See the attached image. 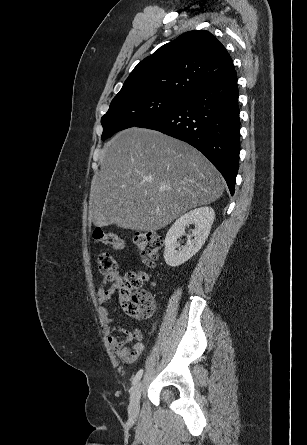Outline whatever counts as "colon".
I'll list each match as a JSON object with an SVG mask.
<instances>
[{"label":"colon","instance_id":"obj_1","mask_svg":"<svg viewBox=\"0 0 307 445\" xmlns=\"http://www.w3.org/2000/svg\"><path fill=\"white\" fill-rule=\"evenodd\" d=\"M93 238L95 241L104 243L115 250H121L125 247V242L120 236L101 228L94 230ZM134 244L142 262L149 267L153 265L158 257L163 240L154 232L138 231L134 236ZM97 262L99 270L105 274L117 269V261L110 253L100 252L97 255ZM145 280V273L129 271L118 287L121 308L127 315L137 320L151 317L155 309L151 294L141 289Z\"/></svg>","mask_w":307,"mask_h":445}]
</instances>
